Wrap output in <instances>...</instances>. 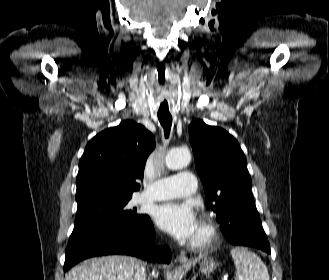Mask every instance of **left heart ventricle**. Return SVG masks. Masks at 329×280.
<instances>
[{"instance_id": "1", "label": "left heart ventricle", "mask_w": 329, "mask_h": 280, "mask_svg": "<svg viewBox=\"0 0 329 280\" xmlns=\"http://www.w3.org/2000/svg\"><path fill=\"white\" fill-rule=\"evenodd\" d=\"M199 235H200V230H198V232L193 240L197 239L199 237Z\"/></svg>"}]
</instances>
